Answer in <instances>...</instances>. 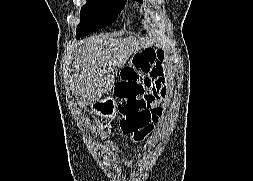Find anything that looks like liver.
<instances>
[{
  "instance_id": "6515ba94",
  "label": "liver",
  "mask_w": 253,
  "mask_h": 181,
  "mask_svg": "<svg viewBox=\"0 0 253 181\" xmlns=\"http://www.w3.org/2000/svg\"><path fill=\"white\" fill-rule=\"evenodd\" d=\"M149 42L130 36H92L81 40L74 52L71 84L82 104H92L115 83L113 67L122 68L132 54L147 48Z\"/></svg>"
}]
</instances>
